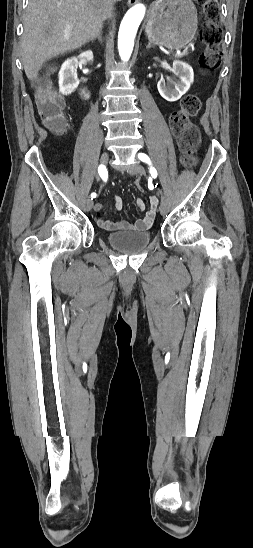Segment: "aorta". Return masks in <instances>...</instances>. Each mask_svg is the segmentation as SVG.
Wrapping results in <instances>:
<instances>
[{
    "label": "aorta",
    "instance_id": "762f6f07",
    "mask_svg": "<svg viewBox=\"0 0 253 548\" xmlns=\"http://www.w3.org/2000/svg\"><path fill=\"white\" fill-rule=\"evenodd\" d=\"M146 7L139 3L131 7L125 14L118 33V50L123 61L131 57L134 40L140 23L145 15Z\"/></svg>",
    "mask_w": 253,
    "mask_h": 548
}]
</instances>
